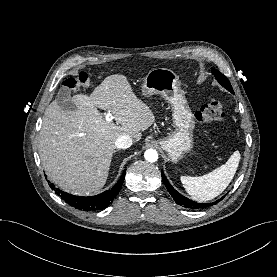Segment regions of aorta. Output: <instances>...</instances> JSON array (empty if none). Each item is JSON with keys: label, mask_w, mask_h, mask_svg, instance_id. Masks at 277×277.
<instances>
[{"label": "aorta", "mask_w": 277, "mask_h": 277, "mask_svg": "<svg viewBox=\"0 0 277 277\" xmlns=\"http://www.w3.org/2000/svg\"><path fill=\"white\" fill-rule=\"evenodd\" d=\"M144 157L148 162H156L158 160V153L155 149H148L145 151Z\"/></svg>", "instance_id": "obj_1"}]
</instances>
